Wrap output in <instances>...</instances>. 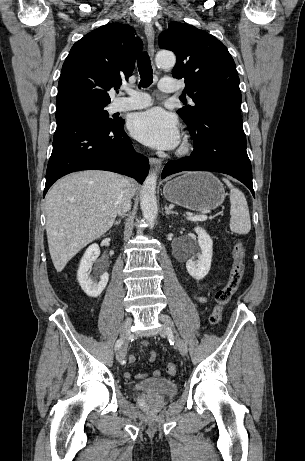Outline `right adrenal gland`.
<instances>
[{"label": "right adrenal gland", "mask_w": 305, "mask_h": 461, "mask_svg": "<svg viewBox=\"0 0 305 461\" xmlns=\"http://www.w3.org/2000/svg\"><path fill=\"white\" fill-rule=\"evenodd\" d=\"M120 224H121V218H119L118 220L114 222V225H120Z\"/></svg>", "instance_id": "2a0ac1e0"}]
</instances>
